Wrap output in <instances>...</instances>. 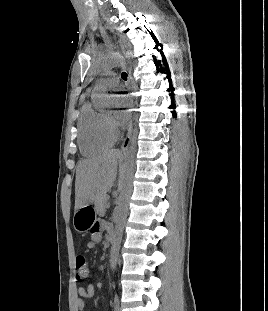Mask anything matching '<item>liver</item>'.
<instances>
[{
    "label": "liver",
    "instance_id": "6515ba94",
    "mask_svg": "<svg viewBox=\"0 0 268 311\" xmlns=\"http://www.w3.org/2000/svg\"><path fill=\"white\" fill-rule=\"evenodd\" d=\"M121 158L118 150L82 160L76 170L75 210L93 203L113 186L117 175V162Z\"/></svg>",
    "mask_w": 268,
    "mask_h": 311
}]
</instances>
